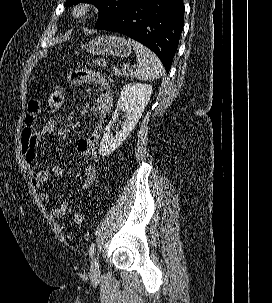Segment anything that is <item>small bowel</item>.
<instances>
[{
  "label": "small bowel",
  "mask_w": 272,
  "mask_h": 303,
  "mask_svg": "<svg viewBox=\"0 0 272 303\" xmlns=\"http://www.w3.org/2000/svg\"><path fill=\"white\" fill-rule=\"evenodd\" d=\"M86 82H94L99 88V94L96 100L98 119L95 127L89 135L78 139L76 142L77 151L90 159L84 169V179L81 183L82 189H89L95 183L96 166L100 161L96 145L102 133L104 117L108 114L112 104L111 88L103 74L95 70L86 69L73 72L68 77V83L73 86L81 85ZM40 110L41 104L38 99L29 101L21 131V153L29 178L33 186L39 191L41 201L44 204H49L50 194L45 187L49 170L44 168L36 170L32 167V164L37 158L36 149L39 141L44 137L50 136L54 132V130H48L43 127L36 129V122ZM51 172L57 177H62L64 174L63 168L58 165H53L51 167ZM67 208L68 204L62 202L52 209V213L55 217L62 218L66 214Z\"/></svg>",
  "instance_id": "c3829d8e"
}]
</instances>
